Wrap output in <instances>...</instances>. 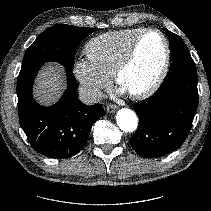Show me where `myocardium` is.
Wrapping results in <instances>:
<instances>
[{
    "label": "myocardium",
    "instance_id": "myocardium-1",
    "mask_svg": "<svg viewBox=\"0 0 211 211\" xmlns=\"http://www.w3.org/2000/svg\"><path fill=\"white\" fill-rule=\"evenodd\" d=\"M149 33H157L161 37V39L163 41V45H164V59H163V63H162V66H161V69H160L158 75L156 76L154 81L148 87H146L145 89L138 91V92L128 93L131 98L137 99V100H143V99H146V98L150 97L151 95H153L160 88V86L162 85V83H163L164 79L166 78V75L169 71L171 50H170L169 41H168L167 37L165 36V34L157 28H144L134 38V40L131 43L126 54L120 60V62L117 64V66L113 72L114 81L117 85H119L120 78H121L122 74L131 66V64L135 60L143 37Z\"/></svg>",
    "mask_w": 211,
    "mask_h": 211
}]
</instances>
